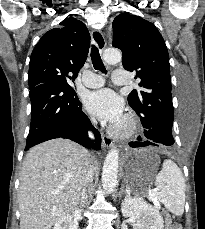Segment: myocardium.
<instances>
[{"mask_svg":"<svg viewBox=\"0 0 205 229\" xmlns=\"http://www.w3.org/2000/svg\"><path fill=\"white\" fill-rule=\"evenodd\" d=\"M137 128V121L132 114L126 115L122 121L112 128V133L118 137H128Z\"/></svg>","mask_w":205,"mask_h":229,"instance_id":"myocardium-1","label":"myocardium"}]
</instances>
